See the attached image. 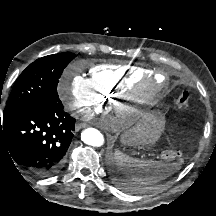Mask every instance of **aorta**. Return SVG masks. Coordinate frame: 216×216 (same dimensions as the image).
Returning <instances> with one entry per match:
<instances>
[{"label": "aorta", "mask_w": 216, "mask_h": 216, "mask_svg": "<svg viewBox=\"0 0 216 216\" xmlns=\"http://www.w3.org/2000/svg\"><path fill=\"white\" fill-rule=\"evenodd\" d=\"M82 141L93 147H101L104 144V136L95 128H87L81 133Z\"/></svg>", "instance_id": "1"}]
</instances>
